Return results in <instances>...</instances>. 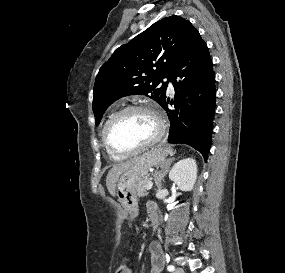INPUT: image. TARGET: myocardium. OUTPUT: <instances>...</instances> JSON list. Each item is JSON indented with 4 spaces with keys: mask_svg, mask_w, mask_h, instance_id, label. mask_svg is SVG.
I'll return each mask as SVG.
<instances>
[{
    "mask_svg": "<svg viewBox=\"0 0 285 273\" xmlns=\"http://www.w3.org/2000/svg\"><path fill=\"white\" fill-rule=\"evenodd\" d=\"M131 111H142V112H146L148 114H150L156 124H157V132L156 135L149 140L148 142L130 149V150H122L117 148L116 146H114L110 140V132L112 130V127L114 126L115 122L125 113L127 112H131ZM166 130H167V125H166V121L162 115V113L155 107L148 105V104H130L127 106L122 107L121 109H119L118 111H116L115 113H113L110 118L108 119L105 127H104V131H103V140L104 143L106 145V147L112 151L115 154L121 155V156H130V155H134L137 154L141 151H144L150 147H152L153 145H155L156 143H158L166 134Z\"/></svg>",
    "mask_w": 285,
    "mask_h": 273,
    "instance_id": "1",
    "label": "myocardium"
}]
</instances>
